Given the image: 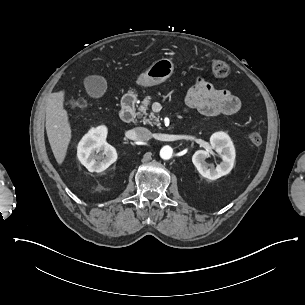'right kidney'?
<instances>
[{"mask_svg":"<svg viewBox=\"0 0 305 305\" xmlns=\"http://www.w3.org/2000/svg\"><path fill=\"white\" fill-rule=\"evenodd\" d=\"M104 137V128L94 129L78 146V158L90 172H102L117 159L115 149L103 141Z\"/></svg>","mask_w":305,"mask_h":305,"instance_id":"ca27d5eb","label":"right kidney"}]
</instances>
